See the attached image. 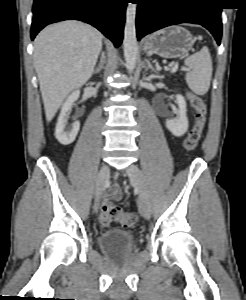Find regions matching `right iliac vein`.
Listing matches in <instances>:
<instances>
[{
	"mask_svg": "<svg viewBox=\"0 0 246 300\" xmlns=\"http://www.w3.org/2000/svg\"><path fill=\"white\" fill-rule=\"evenodd\" d=\"M109 177V167L107 165H103L99 171L96 187H95V211L98 209L99 201L105 186V183Z\"/></svg>",
	"mask_w": 246,
	"mask_h": 300,
	"instance_id": "1",
	"label": "right iliac vein"
}]
</instances>
